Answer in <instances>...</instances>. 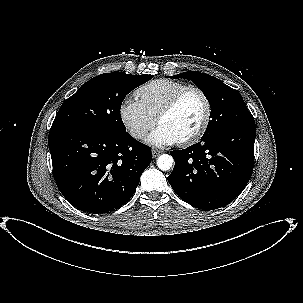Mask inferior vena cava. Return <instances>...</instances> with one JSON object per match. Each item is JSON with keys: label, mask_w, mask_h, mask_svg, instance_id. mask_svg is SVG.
I'll return each mask as SVG.
<instances>
[{"label": "inferior vena cava", "mask_w": 303, "mask_h": 303, "mask_svg": "<svg viewBox=\"0 0 303 303\" xmlns=\"http://www.w3.org/2000/svg\"><path fill=\"white\" fill-rule=\"evenodd\" d=\"M144 135H145V132H144V131H136V132H135V136L138 137V138H139V137H143Z\"/></svg>", "instance_id": "602c4592"}]
</instances>
